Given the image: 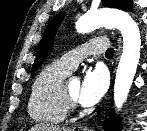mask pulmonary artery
<instances>
[{"label":"pulmonary artery","instance_id":"obj_1","mask_svg":"<svg viewBox=\"0 0 147 131\" xmlns=\"http://www.w3.org/2000/svg\"><path fill=\"white\" fill-rule=\"evenodd\" d=\"M107 46L108 41L105 38H94L64 54L58 62L72 71L85 57L99 55L107 49Z\"/></svg>","mask_w":147,"mask_h":131}]
</instances>
